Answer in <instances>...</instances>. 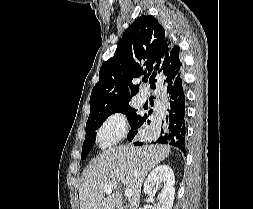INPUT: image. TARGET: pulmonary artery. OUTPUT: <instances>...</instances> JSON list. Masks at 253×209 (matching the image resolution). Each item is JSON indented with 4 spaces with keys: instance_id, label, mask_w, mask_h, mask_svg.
Masks as SVG:
<instances>
[{
    "instance_id": "obj_1",
    "label": "pulmonary artery",
    "mask_w": 253,
    "mask_h": 209,
    "mask_svg": "<svg viewBox=\"0 0 253 209\" xmlns=\"http://www.w3.org/2000/svg\"><path fill=\"white\" fill-rule=\"evenodd\" d=\"M147 98H148V96H147V94L144 93V92H139V93L137 94V99H138V101L141 102V103L146 102Z\"/></svg>"
}]
</instances>
